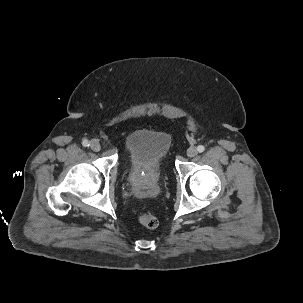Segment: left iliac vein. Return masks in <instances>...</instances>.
Wrapping results in <instances>:
<instances>
[{
	"label": "left iliac vein",
	"instance_id": "4c4485c4",
	"mask_svg": "<svg viewBox=\"0 0 303 303\" xmlns=\"http://www.w3.org/2000/svg\"><path fill=\"white\" fill-rule=\"evenodd\" d=\"M197 149L195 148V147H190V148H188V150H187V156L188 157H194V156H196L197 155Z\"/></svg>",
	"mask_w": 303,
	"mask_h": 303
}]
</instances>
